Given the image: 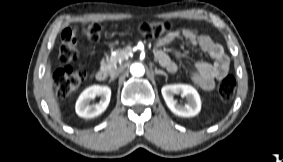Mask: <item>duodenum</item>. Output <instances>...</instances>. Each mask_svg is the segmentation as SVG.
<instances>
[{
  "instance_id": "1",
  "label": "duodenum",
  "mask_w": 283,
  "mask_h": 162,
  "mask_svg": "<svg viewBox=\"0 0 283 162\" xmlns=\"http://www.w3.org/2000/svg\"><path fill=\"white\" fill-rule=\"evenodd\" d=\"M108 77V71L105 68H101L96 73V79L98 81H105Z\"/></svg>"
}]
</instances>
